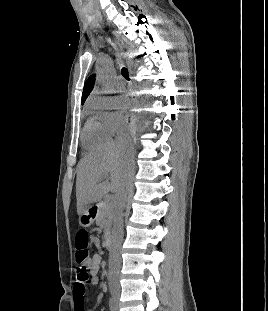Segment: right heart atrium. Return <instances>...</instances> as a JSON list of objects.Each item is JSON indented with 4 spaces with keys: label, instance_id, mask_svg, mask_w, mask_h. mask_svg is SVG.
<instances>
[{
    "label": "right heart atrium",
    "instance_id": "1",
    "mask_svg": "<svg viewBox=\"0 0 268 311\" xmlns=\"http://www.w3.org/2000/svg\"><path fill=\"white\" fill-rule=\"evenodd\" d=\"M88 109L111 136L124 129V118L115 110L114 104L109 97H92L88 104Z\"/></svg>",
    "mask_w": 268,
    "mask_h": 311
}]
</instances>
